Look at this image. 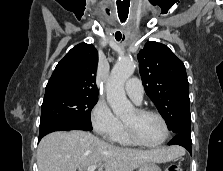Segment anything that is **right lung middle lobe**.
<instances>
[{
	"mask_svg": "<svg viewBox=\"0 0 223 171\" xmlns=\"http://www.w3.org/2000/svg\"><path fill=\"white\" fill-rule=\"evenodd\" d=\"M97 101V96L85 94H61L44 98L40 128L59 120H74L92 126L90 113Z\"/></svg>",
	"mask_w": 223,
	"mask_h": 171,
	"instance_id": "1",
	"label": "right lung middle lobe"
}]
</instances>
